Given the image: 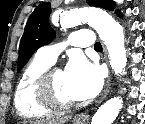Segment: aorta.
Masks as SVG:
<instances>
[{
    "mask_svg": "<svg viewBox=\"0 0 145 124\" xmlns=\"http://www.w3.org/2000/svg\"><path fill=\"white\" fill-rule=\"evenodd\" d=\"M84 22L90 24L97 31L105 44L110 65L115 74H122L127 63L123 27L101 9H75L61 16V23L68 27L78 26ZM122 106L123 100L121 97L111 98L99 107L92 118L91 124H112Z\"/></svg>",
    "mask_w": 145,
    "mask_h": 124,
    "instance_id": "1",
    "label": "aorta"
}]
</instances>
